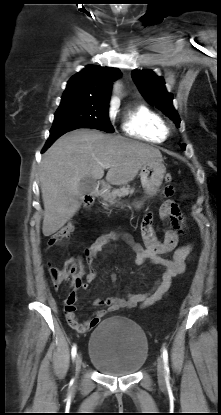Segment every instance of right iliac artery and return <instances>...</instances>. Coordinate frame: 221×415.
Returning a JSON list of instances; mask_svg holds the SVG:
<instances>
[{"label":"right iliac artery","mask_w":221,"mask_h":415,"mask_svg":"<svg viewBox=\"0 0 221 415\" xmlns=\"http://www.w3.org/2000/svg\"><path fill=\"white\" fill-rule=\"evenodd\" d=\"M76 352H77V348H76V346L74 345L73 347H72V350H71V355H72V358L74 359L75 358V356H76Z\"/></svg>","instance_id":"right-iliac-artery-1"}]
</instances>
